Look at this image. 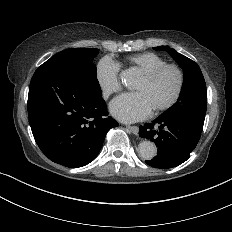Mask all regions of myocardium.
<instances>
[{
	"mask_svg": "<svg viewBox=\"0 0 232 232\" xmlns=\"http://www.w3.org/2000/svg\"><path fill=\"white\" fill-rule=\"evenodd\" d=\"M166 69H173L177 75H178V86L176 88L175 93L173 94L172 98L163 106L159 107L156 112L157 113H163L167 110H169L170 108H172L175 103L178 101L183 87H184V73L181 70V68L179 66H177L176 64H171V63H165L162 64L160 66H157L156 68L152 69L151 71L145 73L142 75V78L146 81V82H151L153 81L160 73H162L164 70Z\"/></svg>",
	"mask_w": 232,
	"mask_h": 232,
	"instance_id": "myocardium-1",
	"label": "myocardium"
}]
</instances>
